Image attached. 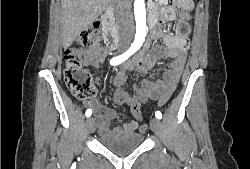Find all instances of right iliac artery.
<instances>
[{"label": "right iliac artery", "instance_id": "right-iliac-artery-1", "mask_svg": "<svg viewBox=\"0 0 250 169\" xmlns=\"http://www.w3.org/2000/svg\"><path fill=\"white\" fill-rule=\"evenodd\" d=\"M136 51V49H132L130 48L127 52H125L124 54L114 57L110 60V64L111 65H119L120 63L124 62L125 60H127L134 52ZM86 116L90 117L92 114V110L91 109H87L86 110Z\"/></svg>", "mask_w": 250, "mask_h": 169}]
</instances>
